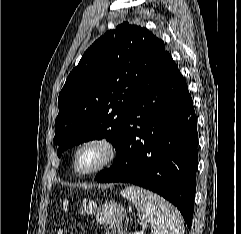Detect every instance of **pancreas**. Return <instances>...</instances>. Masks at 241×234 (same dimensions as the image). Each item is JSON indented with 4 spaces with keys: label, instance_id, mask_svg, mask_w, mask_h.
Here are the masks:
<instances>
[{
    "label": "pancreas",
    "instance_id": "cf45deb5",
    "mask_svg": "<svg viewBox=\"0 0 241 234\" xmlns=\"http://www.w3.org/2000/svg\"><path fill=\"white\" fill-rule=\"evenodd\" d=\"M111 234H127V233L123 229H117V230L112 231Z\"/></svg>",
    "mask_w": 241,
    "mask_h": 234
}]
</instances>
